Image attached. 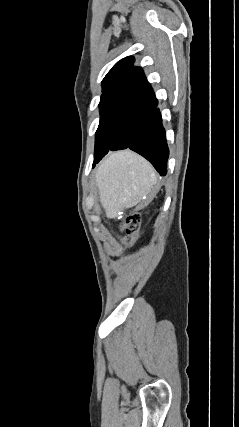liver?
Masks as SVG:
<instances>
[{"instance_id":"liver-1","label":"liver","mask_w":239,"mask_h":427,"mask_svg":"<svg viewBox=\"0 0 239 427\" xmlns=\"http://www.w3.org/2000/svg\"><path fill=\"white\" fill-rule=\"evenodd\" d=\"M96 184L106 217L113 219L122 210L143 201V207L153 198L156 174L140 155L123 150L110 154L99 165Z\"/></svg>"}]
</instances>
